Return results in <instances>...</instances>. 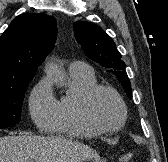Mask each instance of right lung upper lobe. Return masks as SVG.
Segmentation results:
<instances>
[{
  "label": "right lung upper lobe",
  "instance_id": "right-lung-upper-lobe-1",
  "mask_svg": "<svg viewBox=\"0 0 168 162\" xmlns=\"http://www.w3.org/2000/svg\"><path fill=\"white\" fill-rule=\"evenodd\" d=\"M56 34L52 16L25 13L14 18L0 38V85L33 78Z\"/></svg>",
  "mask_w": 168,
  "mask_h": 162
}]
</instances>
